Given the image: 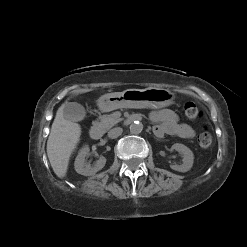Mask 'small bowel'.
Segmentation results:
<instances>
[{
	"mask_svg": "<svg viewBox=\"0 0 247 247\" xmlns=\"http://www.w3.org/2000/svg\"><path fill=\"white\" fill-rule=\"evenodd\" d=\"M150 118L155 123L154 133L159 138L165 135H175L184 139H192L195 136L194 129L181 123L176 113L169 109L154 111Z\"/></svg>",
	"mask_w": 247,
	"mask_h": 247,
	"instance_id": "small-bowel-1",
	"label": "small bowel"
}]
</instances>
